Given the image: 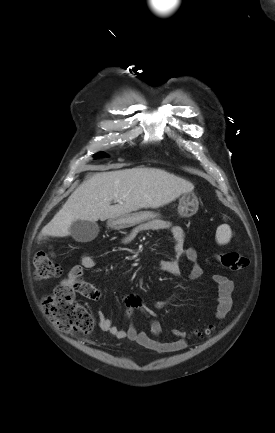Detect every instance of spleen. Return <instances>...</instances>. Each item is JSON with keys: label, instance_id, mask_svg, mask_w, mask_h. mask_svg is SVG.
I'll use <instances>...</instances> for the list:
<instances>
[{"label": "spleen", "instance_id": "3e777b00", "mask_svg": "<svg viewBox=\"0 0 275 433\" xmlns=\"http://www.w3.org/2000/svg\"><path fill=\"white\" fill-rule=\"evenodd\" d=\"M232 237V231L227 224L220 225L216 231V241L220 245L227 244Z\"/></svg>", "mask_w": 275, "mask_h": 433}]
</instances>
